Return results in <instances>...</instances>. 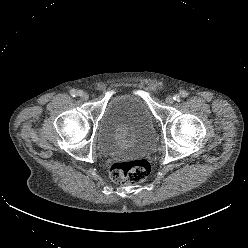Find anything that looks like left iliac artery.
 Listing matches in <instances>:
<instances>
[{
	"label": "left iliac artery",
	"mask_w": 248,
	"mask_h": 248,
	"mask_svg": "<svg viewBox=\"0 0 248 248\" xmlns=\"http://www.w3.org/2000/svg\"><path fill=\"white\" fill-rule=\"evenodd\" d=\"M187 96H188V92L183 90V91L180 92V94L174 95L173 98H174L175 101H179L181 99V97L185 98Z\"/></svg>",
	"instance_id": "44dca946"
}]
</instances>
